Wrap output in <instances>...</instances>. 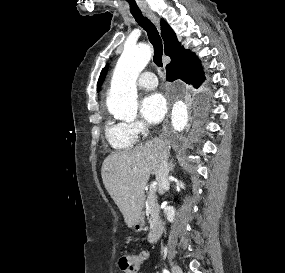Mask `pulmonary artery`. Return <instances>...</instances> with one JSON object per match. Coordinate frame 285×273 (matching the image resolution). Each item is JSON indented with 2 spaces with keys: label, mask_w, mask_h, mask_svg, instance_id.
I'll list each match as a JSON object with an SVG mask.
<instances>
[{
  "label": "pulmonary artery",
  "mask_w": 285,
  "mask_h": 273,
  "mask_svg": "<svg viewBox=\"0 0 285 273\" xmlns=\"http://www.w3.org/2000/svg\"><path fill=\"white\" fill-rule=\"evenodd\" d=\"M138 85L144 89H153L158 85V80L153 72L145 71L140 75Z\"/></svg>",
  "instance_id": "pulmonary-artery-1"
}]
</instances>
